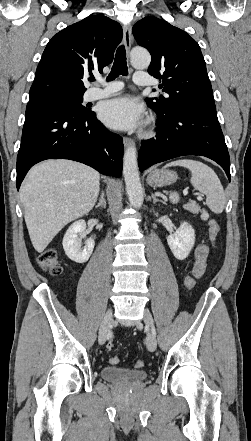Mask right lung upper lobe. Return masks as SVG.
I'll list each match as a JSON object with an SVG mask.
<instances>
[{"label": "right lung upper lobe", "instance_id": "1", "mask_svg": "<svg viewBox=\"0 0 251 441\" xmlns=\"http://www.w3.org/2000/svg\"><path fill=\"white\" fill-rule=\"evenodd\" d=\"M122 36L120 24L104 15L87 17L54 35L38 64L29 102L84 94V77L112 62Z\"/></svg>", "mask_w": 251, "mask_h": 441}]
</instances>
